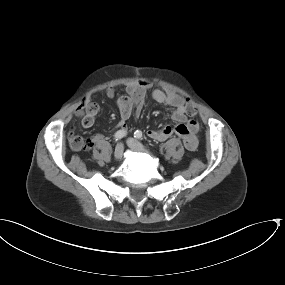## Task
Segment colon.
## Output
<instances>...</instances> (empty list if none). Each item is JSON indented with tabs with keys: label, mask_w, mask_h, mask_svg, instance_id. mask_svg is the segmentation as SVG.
Listing matches in <instances>:
<instances>
[{
	"label": "colon",
	"mask_w": 285,
	"mask_h": 285,
	"mask_svg": "<svg viewBox=\"0 0 285 285\" xmlns=\"http://www.w3.org/2000/svg\"><path fill=\"white\" fill-rule=\"evenodd\" d=\"M86 103L83 102L82 106H85ZM187 113L190 116H194L197 113V108L194 104L190 103L187 105ZM72 142L73 145L76 149L80 150V149H87L89 146V141L87 138L83 137V136H74L72 138Z\"/></svg>",
	"instance_id": "obj_1"
}]
</instances>
